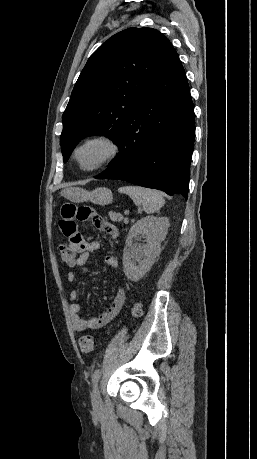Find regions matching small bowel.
I'll return each instance as SVG.
<instances>
[{
	"label": "small bowel",
	"mask_w": 257,
	"mask_h": 459,
	"mask_svg": "<svg viewBox=\"0 0 257 459\" xmlns=\"http://www.w3.org/2000/svg\"><path fill=\"white\" fill-rule=\"evenodd\" d=\"M79 222H84L85 226H96L99 230L114 239L118 237L119 232L113 224L99 218L97 208H90L89 205H76L75 200H66L65 205H61L60 208L58 227L60 232L67 237L69 250L75 251L74 253L77 258L73 265L82 267L87 263L90 255L99 250L100 244L97 241L87 242L86 235L80 232ZM104 263L108 268L117 272L118 261L114 256L107 255L104 258ZM67 281L69 283L77 281L75 271L68 272ZM78 296L77 290H72L69 293L71 301L69 312L74 330L81 332L100 329L115 320L122 312L126 301L125 290L119 288L116 296L105 311L96 317L86 320L81 317V305L76 302Z\"/></svg>",
	"instance_id": "c3829d8e"
}]
</instances>
